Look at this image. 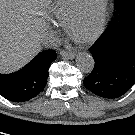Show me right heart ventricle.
Masks as SVG:
<instances>
[{
    "instance_id": "1",
    "label": "right heart ventricle",
    "mask_w": 135,
    "mask_h": 135,
    "mask_svg": "<svg viewBox=\"0 0 135 135\" xmlns=\"http://www.w3.org/2000/svg\"><path fill=\"white\" fill-rule=\"evenodd\" d=\"M84 0H55L51 7L52 18L60 25L66 26L80 8Z\"/></svg>"
}]
</instances>
